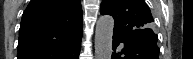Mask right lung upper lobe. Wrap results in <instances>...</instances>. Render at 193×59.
<instances>
[{"label":"right lung upper lobe","instance_id":"obj_1","mask_svg":"<svg viewBox=\"0 0 193 59\" xmlns=\"http://www.w3.org/2000/svg\"><path fill=\"white\" fill-rule=\"evenodd\" d=\"M81 37L80 0H31L22 16L17 59L54 55Z\"/></svg>","mask_w":193,"mask_h":59}]
</instances>
